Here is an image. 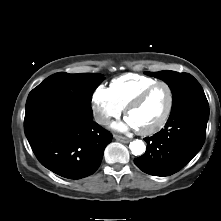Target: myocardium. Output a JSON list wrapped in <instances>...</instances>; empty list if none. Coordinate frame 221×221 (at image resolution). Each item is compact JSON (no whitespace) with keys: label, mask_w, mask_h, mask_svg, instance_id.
I'll use <instances>...</instances> for the list:
<instances>
[{"label":"myocardium","mask_w":221,"mask_h":221,"mask_svg":"<svg viewBox=\"0 0 221 221\" xmlns=\"http://www.w3.org/2000/svg\"><path fill=\"white\" fill-rule=\"evenodd\" d=\"M158 86H164L167 89L168 92V105L166 108V111L163 115V117L161 118V120L155 124L154 126L148 128V129H137V132L140 135L143 136H149V135H153L157 132H159L168 122L172 110H173V105H174V93L173 90L171 88V86L164 82V81H157L151 85H149L148 87H146L144 90H142L136 97H134L125 107L124 109V114L125 116L128 118L129 113L135 109L136 107H138L140 104H142L144 102V100L149 96V94Z\"/></svg>","instance_id":"f54148a6"}]
</instances>
